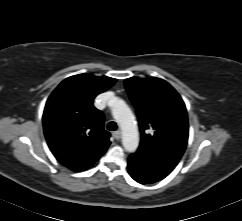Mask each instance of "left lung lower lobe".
Instances as JSON below:
<instances>
[{
    "label": "left lung lower lobe",
    "instance_id": "left-lung-lower-lobe-1",
    "mask_svg": "<svg viewBox=\"0 0 242 221\" xmlns=\"http://www.w3.org/2000/svg\"><path fill=\"white\" fill-rule=\"evenodd\" d=\"M175 166L166 159L140 150L128 158L129 174L141 184H152L162 180L172 172Z\"/></svg>",
    "mask_w": 242,
    "mask_h": 221
}]
</instances>
